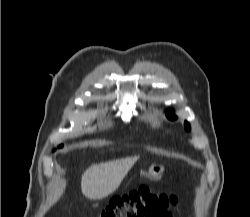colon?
Instances as JSON below:
<instances>
[{
	"label": "colon",
	"mask_w": 250,
	"mask_h": 217,
	"mask_svg": "<svg viewBox=\"0 0 250 217\" xmlns=\"http://www.w3.org/2000/svg\"><path fill=\"white\" fill-rule=\"evenodd\" d=\"M178 199L166 193L153 192L147 186L113 198L100 217H171L168 208Z\"/></svg>",
	"instance_id": "5ec220e1"
}]
</instances>
